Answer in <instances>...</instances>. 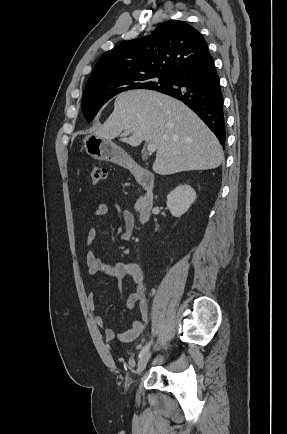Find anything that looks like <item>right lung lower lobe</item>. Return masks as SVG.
<instances>
[{
    "label": "right lung lower lobe",
    "instance_id": "right-lung-lower-lobe-1",
    "mask_svg": "<svg viewBox=\"0 0 287 434\" xmlns=\"http://www.w3.org/2000/svg\"><path fill=\"white\" fill-rule=\"evenodd\" d=\"M164 94L181 100L190 107L225 144L223 95L214 60L210 54L179 72Z\"/></svg>",
    "mask_w": 287,
    "mask_h": 434
}]
</instances>
